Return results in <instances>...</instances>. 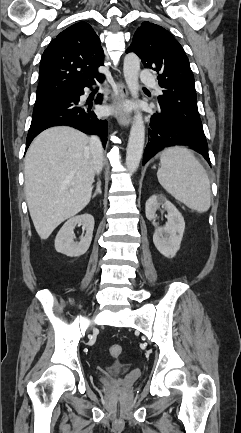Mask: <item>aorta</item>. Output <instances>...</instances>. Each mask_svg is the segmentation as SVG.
<instances>
[{
	"mask_svg": "<svg viewBox=\"0 0 241 433\" xmlns=\"http://www.w3.org/2000/svg\"><path fill=\"white\" fill-rule=\"evenodd\" d=\"M139 71V57L134 53L127 54L124 58L123 73L129 91L134 98H138ZM144 141L145 125L143 116L140 111H137L133 118L126 149V167L130 173L136 172L139 167L143 154Z\"/></svg>",
	"mask_w": 241,
	"mask_h": 433,
	"instance_id": "762f6f07",
	"label": "aorta"
}]
</instances>
